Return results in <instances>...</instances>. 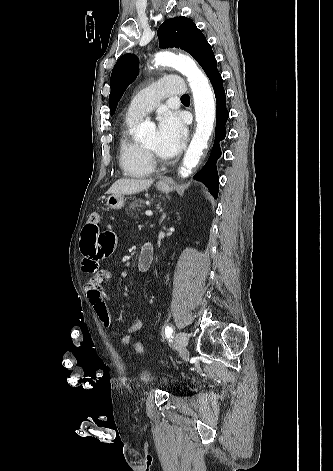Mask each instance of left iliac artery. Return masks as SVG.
Instances as JSON below:
<instances>
[{
	"mask_svg": "<svg viewBox=\"0 0 333 471\" xmlns=\"http://www.w3.org/2000/svg\"><path fill=\"white\" fill-rule=\"evenodd\" d=\"M173 333V328L171 326H166L165 327V336L167 338L171 337Z\"/></svg>",
	"mask_w": 333,
	"mask_h": 471,
	"instance_id": "obj_1",
	"label": "left iliac artery"
}]
</instances>
